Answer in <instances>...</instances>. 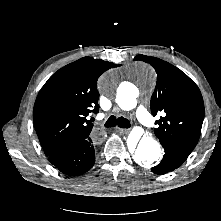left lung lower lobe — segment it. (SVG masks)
I'll use <instances>...</instances> for the list:
<instances>
[{
  "label": "left lung lower lobe",
  "instance_id": "obj_1",
  "mask_svg": "<svg viewBox=\"0 0 221 221\" xmlns=\"http://www.w3.org/2000/svg\"><path fill=\"white\" fill-rule=\"evenodd\" d=\"M165 155L157 166L151 168L155 174H165L178 168L191 153L190 150L172 144H161Z\"/></svg>",
  "mask_w": 221,
  "mask_h": 221
}]
</instances>
